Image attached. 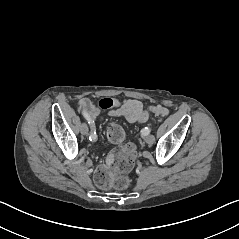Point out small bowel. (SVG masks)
Segmentation results:
<instances>
[{
    "label": "small bowel",
    "instance_id": "small-bowel-1",
    "mask_svg": "<svg viewBox=\"0 0 239 239\" xmlns=\"http://www.w3.org/2000/svg\"><path fill=\"white\" fill-rule=\"evenodd\" d=\"M78 105L82 113L85 112L88 114L90 119L89 124L94 127L100 115V108L87 98L81 99ZM113 107L114 109L110 111V115L124 117L130 123H144L149 119L148 111L145 110L142 103L137 100H114Z\"/></svg>",
    "mask_w": 239,
    "mask_h": 239
}]
</instances>
